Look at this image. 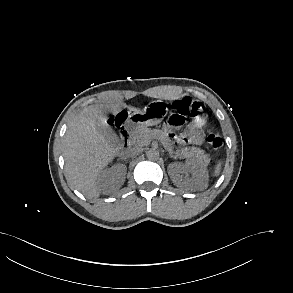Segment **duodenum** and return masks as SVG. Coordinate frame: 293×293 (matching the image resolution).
<instances>
[{
  "mask_svg": "<svg viewBox=\"0 0 293 293\" xmlns=\"http://www.w3.org/2000/svg\"><path fill=\"white\" fill-rule=\"evenodd\" d=\"M131 131H132V127L130 125L124 126L120 130V138L123 143V149L128 147L130 144Z\"/></svg>",
  "mask_w": 293,
  "mask_h": 293,
  "instance_id": "410a0bca",
  "label": "duodenum"
}]
</instances>
